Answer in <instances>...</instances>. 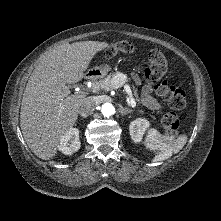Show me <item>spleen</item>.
<instances>
[{"label":"spleen","instance_id":"spleen-1","mask_svg":"<svg viewBox=\"0 0 221 221\" xmlns=\"http://www.w3.org/2000/svg\"><path fill=\"white\" fill-rule=\"evenodd\" d=\"M186 141V135H180L177 139H174L173 136L162 135L152 128L146 135L144 145L150 151H159L153 158V162H159L170 158L173 153H178L184 147Z\"/></svg>","mask_w":221,"mask_h":221}]
</instances>
